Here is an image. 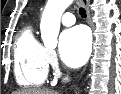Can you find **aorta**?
<instances>
[{"mask_svg": "<svg viewBox=\"0 0 121 94\" xmlns=\"http://www.w3.org/2000/svg\"><path fill=\"white\" fill-rule=\"evenodd\" d=\"M73 0H48L40 22L41 38L46 48H55L63 12Z\"/></svg>", "mask_w": 121, "mask_h": 94, "instance_id": "762f6f07", "label": "aorta"}]
</instances>
